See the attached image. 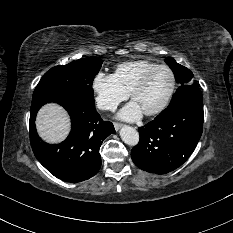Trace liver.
Returning <instances> with one entry per match:
<instances>
[{"mask_svg": "<svg viewBox=\"0 0 233 233\" xmlns=\"http://www.w3.org/2000/svg\"><path fill=\"white\" fill-rule=\"evenodd\" d=\"M37 131L49 143L64 140L70 131V118L67 112L55 103L43 106L37 115Z\"/></svg>", "mask_w": 233, "mask_h": 233, "instance_id": "liver-1", "label": "liver"}]
</instances>
